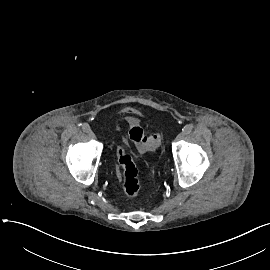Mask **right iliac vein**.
<instances>
[{"instance_id": "obj_1", "label": "right iliac vein", "mask_w": 270, "mask_h": 270, "mask_svg": "<svg viewBox=\"0 0 270 270\" xmlns=\"http://www.w3.org/2000/svg\"><path fill=\"white\" fill-rule=\"evenodd\" d=\"M88 135H89V137H90L91 139H95V138H96L95 133H94L93 131H91V130L88 132Z\"/></svg>"}]
</instances>
